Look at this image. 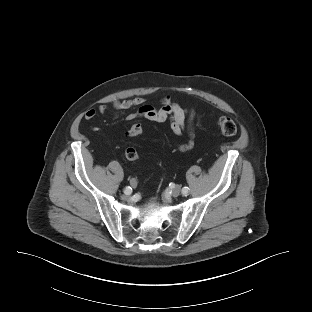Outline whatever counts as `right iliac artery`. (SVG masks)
Returning a JSON list of instances; mask_svg holds the SVG:
<instances>
[{"label":"right iliac artery","instance_id":"right-iliac-artery-1","mask_svg":"<svg viewBox=\"0 0 312 312\" xmlns=\"http://www.w3.org/2000/svg\"><path fill=\"white\" fill-rule=\"evenodd\" d=\"M131 192H132V188L130 186L126 187L124 190L125 194H131Z\"/></svg>","mask_w":312,"mask_h":312}]
</instances>
